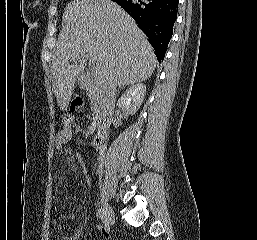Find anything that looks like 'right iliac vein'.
I'll return each instance as SVG.
<instances>
[{"instance_id":"63e3f726","label":"right iliac vein","mask_w":257,"mask_h":240,"mask_svg":"<svg viewBox=\"0 0 257 240\" xmlns=\"http://www.w3.org/2000/svg\"><path fill=\"white\" fill-rule=\"evenodd\" d=\"M102 211H103L106 222H108L110 224L114 223V221H115L114 210L104 199H102Z\"/></svg>"}]
</instances>
